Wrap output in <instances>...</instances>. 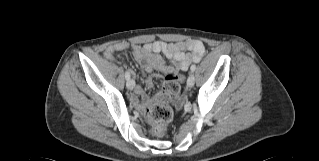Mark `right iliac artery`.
<instances>
[{"label": "right iliac artery", "mask_w": 319, "mask_h": 161, "mask_svg": "<svg viewBox=\"0 0 319 161\" xmlns=\"http://www.w3.org/2000/svg\"><path fill=\"white\" fill-rule=\"evenodd\" d=\"M125 78H126V80L130 79V74L128 71H126V73H125Z\"/></svg>", "instance_id": "obj_1"}]
</instances>
